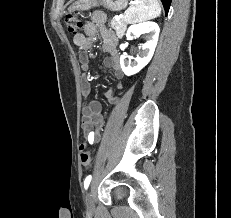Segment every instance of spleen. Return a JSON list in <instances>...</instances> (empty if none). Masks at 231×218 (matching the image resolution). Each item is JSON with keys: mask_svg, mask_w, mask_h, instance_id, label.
<instances>
[{"mask_svg": "<svg viewBox=\"0 0 231 218\" xmlns=\"http://www.w3.org/2000/svg\"><path fill=\"white\" fill-rule=\"evenodd\" d=\"M161 14V7L158 0H135L124 13V20L127 23H136L153 19Z\"/></svg>", "mask_w": 231, "mask_h": 218, "instance_id": "3e777b00", "label": "spleen"}]
</instances>
